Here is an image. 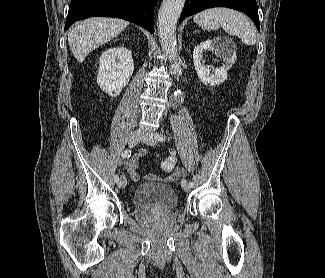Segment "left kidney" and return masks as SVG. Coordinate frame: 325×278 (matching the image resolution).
Returning <instances> with one entry per match:
<instances>
[{"label":"left kidney","mask_w":325,"mask_h":278,"mask_svg":"<svg viewBox=\"0 0 325 278\" xmlns=\"http://www.w3.org/2000/svg\"><path fill=\"white\" fill-rule=\"evenodd\" d=\"M205 51H213L224 61L222 67L213 70L214 73H211V69L203 63L202 53ZM236 58L235 46L225 38L206 40L197 45L193 51L194 66L198 77L209 86H218L227 79V71L233 66Z\"/></svg>","instance_id":"obj_1"}]
</instances>
